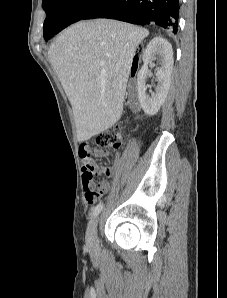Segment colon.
<instances>
[{
	"mask_svg": "<svg viewBox=\"0 0 227 298\" xmlns=\"http://www.w3.org/2000/svg\"><path fill=\"white\" fill-rule=\"evenodd\" d=\"M122 143L123 133L122 130L117 126L107 129L97 137V145L102 149H119L122 146ZM85 197L89 204H94L99 199V194L95 189L87 188L85 190Z\"/></svg>",
	"mask_w": 227,
	"mask_h": 298,
	"instance_id": "obj_1",
	"label": "colon"
}]
</instances>
